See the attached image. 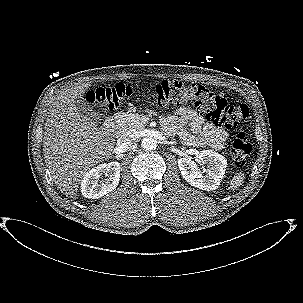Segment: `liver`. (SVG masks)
Masks as SVG:
<instances>
[{"label": "liver", "instance_id": "6515ba94", "mask_svg": "<svg viewBox=\"0 0 303 303\" xmlns=\"http://www.w3.org/2000/svg\"><path fill=\"white\" fill-rule=\"evenodd\" d=\"M91 82L61 92L52 102L45 123L43 155L58 189L75 197L84 175L110 158L115 146L112 131L82 115L75 100L82 97Z\"/></svg>", "mask_w": 303, "mask_h": 303}]
</instances>
